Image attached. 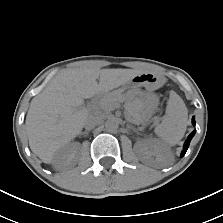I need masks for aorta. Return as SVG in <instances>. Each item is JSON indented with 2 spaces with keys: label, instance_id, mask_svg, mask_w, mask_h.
Segmentation results:
<instances>
[{
  "label": "aorta",
  "instance_id": "obj_1",
  "mask_svg": "<svg viewBox=\"0 0 223 223\" xmlns=\"http://www.w3.org/2000/svg\"><path fill=\"white\" fill-rule=\"evenodd\" d=\"M105 127H106V129H107L108 131H110V132H114V131H116L117 128H118V122H117V120H116L115 118H113V117H109V118L107 119V121L105 122Z\"/></svg>",
  "mask_w": 223,
  "mask_h": 223
}]
</instances>
